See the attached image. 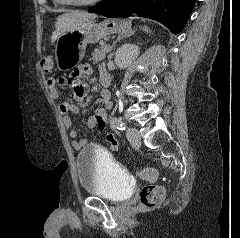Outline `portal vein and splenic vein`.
<instances>
[{
	"mask_svg": "<svg viewBox=\"0 0 240 238\" xmlns=\"http://www.w3.org/2000/svg\"><path fill=\"white\" fill-rule=\"evenodd\" d=\"M110 49H111L110 45H105V47H104V52H105V53H106V52H109Z\"/></svg>",
	"mask_w": 240,
	"mask_h": 238,
	"instance_id": "1",
	"label": "portal vein and splenic vein"
}]
</instances>
